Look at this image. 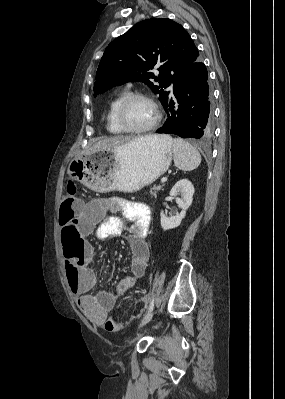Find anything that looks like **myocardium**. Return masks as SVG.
Returning a JSON list of instances; mask_svg holds the SVG:
<instances>
[{
	"label": "myocardium",
	"instance_id": "obj_1",
	"mask_svg": "<svg viewBox=\"0 0 285 399\" xmlns=\"http://www.w3.org/2000/svg\"><path fill=\"white\" fill-rule=\"evenodd\" d=\"M136 100H145L149 102L154 110H155V118L154 120L147 126L142 127V128H133L130 127L127 122H126V110L129 107V105L136 101ZM161 110L158 105V103L149 95L143 94V93H133L128 95L120 104L117 110V121L120 127L125 130L128 133H135V134H142L151 131L154 129L161 121Z\"/></svg>",
	"mask_w": 285,
	"mask_h": 399
}]
</instances>
